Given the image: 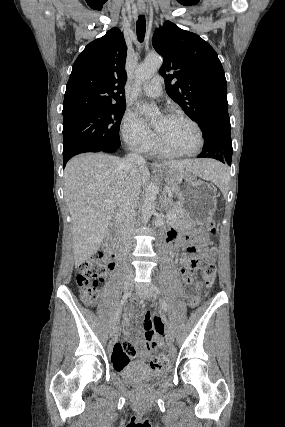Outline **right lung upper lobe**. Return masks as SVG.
I'll return each mask as SVG.
<instances>
[{
    "label": "right lung upper lobe",
    "mask_w": 285,
    "mask_h": 427,
    "mask_svg": "<svg viewBox=\"0 0 285 427\" xmlns=\"http://www.w3.org/2000/svg\"><path fill=\"white\" fill-rule=\"evenodd\" d=\"M127 46L117 28L89 43L77 57L66 85L63 117L126 105Z\"/></svg>",
    "instance_id": "1"
}]
</instances>
